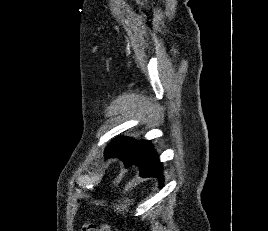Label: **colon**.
<instances>
[{"mask_svg": "<svg viewBox=\"0 0 268 231\" xmlns=\"http://www.w3.org/2000/svg\"><path fill=\"white\" fill-rule=\"evenodd\" d=\"M82 231H111V227L106 223L100 225L86 223L82 226Z\"/></svg>", "mask_w": 268, "mask_h": 231, "instance_id": "1", "label": "colon"}]
</instances>
